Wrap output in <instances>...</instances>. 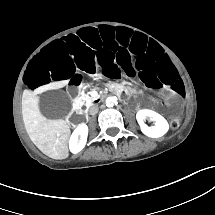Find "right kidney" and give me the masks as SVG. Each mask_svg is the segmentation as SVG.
Returning <instances> with one entry per match:
<instances>
[{"label": "right kidney", "instance_id": "ca27d5eb", "mask_svg": "<svg viewBox=\"0 0 215 215\" xmlns=\"http://www.w3.org/2000/svg\"><path fill=\"white\" fill-rule=\"evenodd\" d=\"M77 134L75 135V132ZM88 134V127L85 124L79 125L75 131L73 132L71 139H70V150L73 153L79 152L86 144ZM80 139L78 140V138Z\"/></svg>", "mask_w": 215, "mask_h": 215}]
</instances>
